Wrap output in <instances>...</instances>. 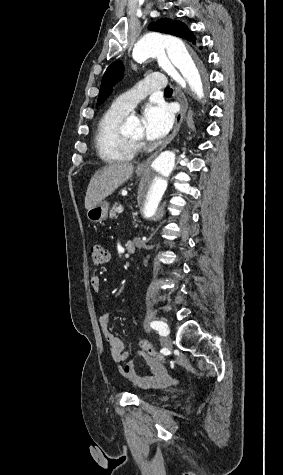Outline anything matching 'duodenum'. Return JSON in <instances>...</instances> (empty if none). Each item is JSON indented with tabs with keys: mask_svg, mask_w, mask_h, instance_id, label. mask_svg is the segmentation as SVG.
I'll return each instance as SVG.
<instances>
[{
	"mask_svg": "<svg viewBox=\"0 0 283 475\" xmlns=\"http://www.w3.org/2000/svg\"><path fill=\"white\" fill-rule=\"evenodd\" d=\"M126 250L128 253L132 254L136 250V242L134 239H130L126 243Z\"/></svg>",
	"mask_w": 283,
	"mask_h": 475,
	"instance_id": "duodenum-1",
	"label": "duodenum"
}]
</instances>
